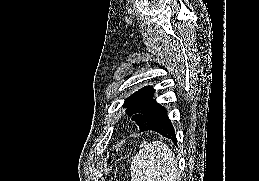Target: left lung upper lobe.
I'll return each instance as SVG.
<instances>
[{
    "label": "left lung upper lobe",
    "mask_w": 259,
    "mask_h": 181,
    "mask_svg": "<svg viewBox=\"0 0 259 181\" xmlns=\"http://www.w3.org/2000/svg\"><path fill=\"white\" fill-rule=\"evenodd\" d=\"M155 90L146 86L128 97L122 107H127L126 113L143 132L159 115L163 106L153 100Z\"/></svg>",
    "instance_id": "obj_1"
}]
</instances>
